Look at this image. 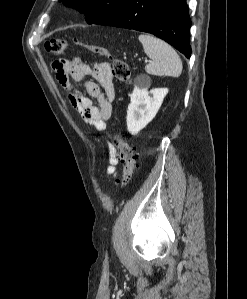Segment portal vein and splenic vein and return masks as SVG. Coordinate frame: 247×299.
Returning a JSON list of instances; mask_svg holds the SVG:
<instances>
[{"instance_id":"18ae733b","label":"portal vein and splenic vein","mask_w":247,"mask_h":299,"mask_svg":"<svg viewBox=\"0 0 247 299\" xmlns=\"http://www.w3.org/2000/svg\"><path fill=\"white\" fill-rule=\"evenodd\" d=\"M145 62L147 63V62H148V60L146 59V60H145Z\"/></svg>"}]
</instances>
